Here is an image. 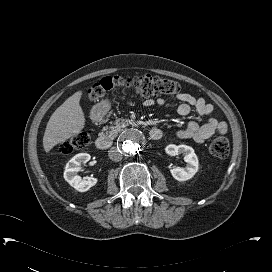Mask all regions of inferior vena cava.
<instances>
[{"mask_svg":"<svg viewBox=\"0 0 272 272\" xmlns=\"http://www.w3.org/2000/svg\"><path fill=\"white\" fill-rule=\"evenodd\" d=\"M108 156L112 161L119 162L122 160V153L116 147H112L108 151Z\"/></svg>","mask_w":272,"mask_h":272,"instance_id":"602c4592","label":"inferior vena cava"}]
</instances>
